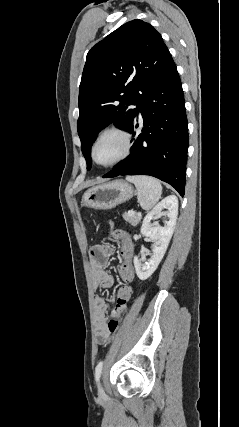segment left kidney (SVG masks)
Listing matches in <instances>:
<instances>
[{"instance_id": "obj_1", "label": "left kidney", "mask_w": 239, "mask_h": 427, "mask_svg": "<svg viewBox=\"0 0 239 427\" xmlns=\"http://www.w3.org/2000/svg\"><path fill=\"white\" fill-rule=\"evenodd\" d=\"M163 209H167L165 214L168 218V221L165 222L164 227L152 226L150 224L151 220L154 218V216L160 214ZM177 215L178 199L176 196L171 195L158 203L145 216L141 227V233L154 241V248L151 258L145 263H142L137 256L134 257L136 274L140 280H146L149 278L161 262L172 237L174 227L176 225Z\"/></svg>"}]
</instances>
